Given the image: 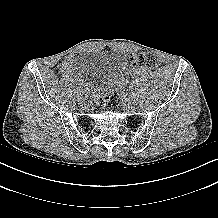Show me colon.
Instances as JSON below:
<instances>
[{
	"mask_svg": "<svg viewBox=\"0 0 218 218\" xmlns=\"http://www.w3.org/2000/svg\"><path fill=\"white\" fill-rule=\"evenodd\" d=\"M126 63L129 66H145L150 69H154L158 67L159 60L152 53H131L127 56ZM112 94V89H106L105 91L99 93L95 98L97 106L100 108L107 107L112 98Z\"/></svg>",
	"mask_w": 218,
	"mask_h": 218,
	"instance_id": "colon-1",
	"label": "colon"
}]
</instances>
